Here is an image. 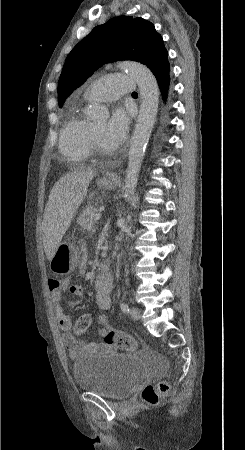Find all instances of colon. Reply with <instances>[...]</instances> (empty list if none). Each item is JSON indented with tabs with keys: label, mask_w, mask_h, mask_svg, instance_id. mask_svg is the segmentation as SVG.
Wrapping results in <instances>:
<instances>
[{
	"label": "colon",
	"mask_w": 245,
	"mask_h": 450,
	"mask_svg": "<svg viewBox=\"0 0 245 450\" xmlns=\"http://www.w3.org/2000/svg\"><path fill=\"white\" fill-rule=\"evenodd\" d=\"M62 281L63 279L60 277H51L49 279V285L51 288H59ZM99 319L105 323L103 318L100 317ZM92 322V316L89 314L79 316L75 322V332L78 334L85 332L91 326ZM104 341L126 350L136 348V343L131 336L110 326H106ZM169 390L170 383L168 381H161L156 385H146L141 391V396L147 404L156 405L160 398L167 394Z\"/></svg>",
	"instance_id": "colon-1"
}]
</instances>
